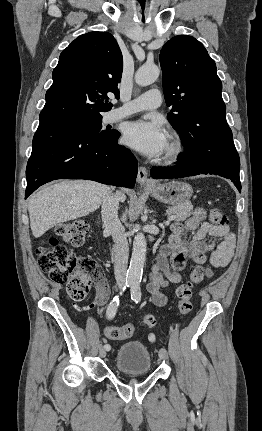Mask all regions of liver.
Wrapping results in <instances>:
<instances>
[{
	"mask_svg": "<svg viewBox=\"0 0 262 431\" xmlns=\"http://www.w3.org/2000/svg\"><path fill=\"white\" fill-rule=\"evenodd\" d=\"M110 188L88 180H64L47 186L28 199L30 227L34 237H41L58 223L87 216L95 211ZM119 200L126 196L118 192Z\"/></svg>",
	"mask_w": 262,
	"mask_h": 431,
	"instance_id": "liver-1",
	"label": "liver"
}]
</instances>
